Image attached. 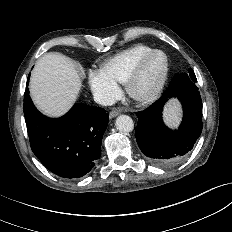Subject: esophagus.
<instances>
[{
	"instance_id": "esophagus-1",
	"label": "esophagus",
	"mask_w": 232,
	"mask_h": 232,
	"mask_svg": "<svg viewBox=\"0 0 232 232\" xmlns=\"http://www.w3.org/2000/svg\"><path fill=\"white\" fill-rule=\"evenodd\" d=\"M119 114H120V111L117 109H114L109 113V116H110V118H114V117L118 116Z\"/></svg>"
}]
</instances>
